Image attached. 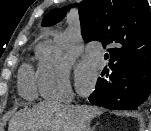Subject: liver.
<instances>
[{
    "label": "liver",
    "mask_w": 151,
    "mask_h": 131,
    "mask_svg": "<svg viewBox=\"0 0 151 131\" xmlns=\"http://www.w3.org/2000/svg\"><path fill=\"white\" fill-rule=\"evenodd\" d=\"M101 114L102 110L94 106L47 101L16 113L8 131H90V121Z\"/></svg>",
    "instance_id": "obj_1"
}]
</instances>
